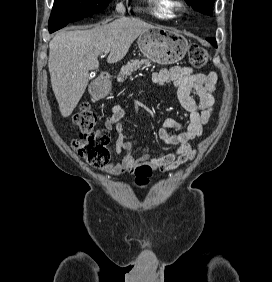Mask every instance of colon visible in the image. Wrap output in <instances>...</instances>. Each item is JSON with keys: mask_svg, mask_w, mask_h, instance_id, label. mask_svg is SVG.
Returning <instances> with one entry per match:
<instances>
[{"mask_svg": "<svg viewBox=\"0 0 272 282\" xmlns=\"http://www.w3.org/2000/svg\"><path fill=\"white\" fill-rule=\"evenodd\" d=\"M189 61L194 67H203L208 62L207 51L198 44L189 48ZM98 121L97 113L88 102H82L73 115V122L80 133L71 140V148L95 168L104 167L109 160L110 133L107 129L93 130ZM142 173L147 168H141Z\"/></svg>", "mask_w": 272, "mask_h": 282, "instance_id": "obj_1", "label": "colon"}]
</instances>
